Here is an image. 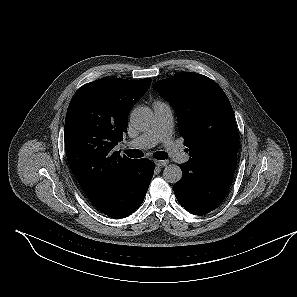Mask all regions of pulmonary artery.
I'll list each match as a JSON object with an SVG mask.
<instances>
[{"label": "pulmonary artery", "mask_w": 297, "mask_h": 297, "mask_svg": "<svg viewBox=\"0 0 297 297\" xmlns=\"http://www.w3.org/2000/svg\"><path fill=\"white\" fill-rule=\"evenodd\" d=\"M152 106L154 111L153 125L148 131L126 142V145L143 149L163 143L169 155L175 161L186 162L188 155L172 139L174 118L171 106L165 101H155Z\"/></svg>", "instance_id": "pulmonary-artery-1"}]
</instances>
